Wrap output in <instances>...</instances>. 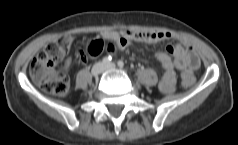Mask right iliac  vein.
Returning a JSON list of instances; mask_svg holds the SVG:
<instances>
[{"label": "right iliac vein", "instance_id": "obj_1", "mask_svg": "<svg viewBox=\"0 0 238 145\" xmlns=\"http://www.w3.org/2000/svg\"><path fill=\"white\" fill-rule=\"evenodd\" d=\"M103 68H104L103 63L101 62L96 63L91 69L92 76L94 77L98 76L103 71Z\"/></svg>", "mask_w": 238, "mask_h": 145}]
</instances>
